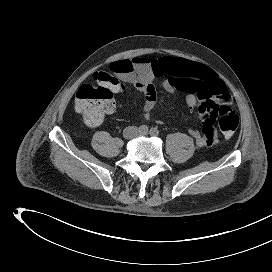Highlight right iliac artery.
I'll return each instance as SVG.
<instances>
[{
  "instance_id": "82829eb1",
  "label": "right iliac artery",
  "mask_w": 272,
  "mask_h": 272,
  "mask_svg": "<svg viewBox=\"0 0 272 272\" xmlns=\"http://www.w3.org/2000/svg\"><path fill=\"white\" fill-rule=\"evenodd\" d=\"M139 132L140 133H147L148 132V126H146V125H141L140 127H139Z\"/></svg>"
}]
</instances>
